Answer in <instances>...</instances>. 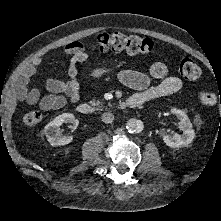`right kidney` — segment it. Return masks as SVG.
Returning a JSON list of instances; mask_svg holds the SVG:
<instances>
[{
  "label": "right kidney",
  "mask_w": 221,
  "mask_h": 221,
  "mask_svg": "<svg viewBox=\"0 0 221 221\" xmlns=\"http://www.w3.org/2000/svg\"><path fill=\"white\" fill-rule=\"evenodd\" d=\"M63 123L77 124V119H75L72 113H63L55 117L44 127V134L52 146H63L69 144L72 141V136L62 135L60 126Z\"/></svg>",
  "instance_id": "right-kidney-1"
}]
</instances>
